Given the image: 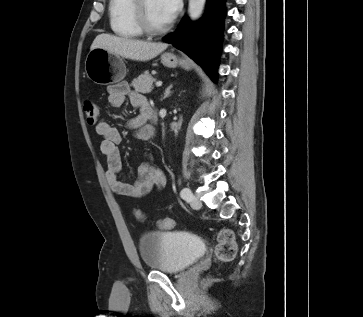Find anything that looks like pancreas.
<instances>
[{"label":"pancreas","instance_id":"obj_1","mask_svg":"<svg viewBox=\"0 0 363 317\" xmlns=\"http://www.w3.org/2000/svg\"><path fill=\"white\" fill-rule=\"evenodd\" d=\"M156 81L155 78H153L149 72H145L141 75H139L137 78L133 79L131 82V86L135 89L137 92L141 93H150L153 89V83Z\"/></svg>","mask_w":363,"mask_h":317}]
</instances>
